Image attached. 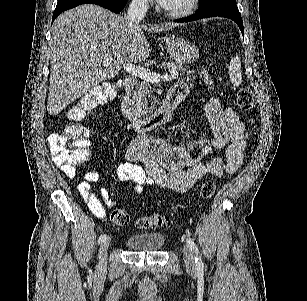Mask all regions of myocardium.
Returning <instances> with one entry per match:
<instances>
[{
	"label": "myocardium",
	"mask_w": 307,
	"mask_h": 301,
	"mask_svg": "<svg viewBox=\"0 0 307 301\" xmlns=\"http://www.w3.org/2000/svg\"><path fill=\"white\" fill-rule=\"evenodd\" d=\"M188 1V0H187ZM197 0H190L184 6L171 5V4H159L156 12H163L165 17H187L190 15L196 5Z\"/></svg>",
	"instance_id": "f54148a6"
}]
</instances>
